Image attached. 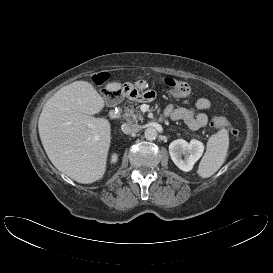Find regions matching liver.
<instances>
[{
	"mask_svg": "<svg viewBox=\"0 0 273 273\" xmlns=\"http://www.w3.org/2000/svg\"><path fill=\"white\" fill-rule=\"evenodd\" d=\"M122 86L111 82L105 89L113 92ZM104 105L92 84L75 81L58 90L39 117V135L48 158L61 173L82 184L100 180L106 171L111 125L94 117Z\"/></svg>",
	"mask_w": 273,
	"mask_h": 273,
	"instance_id": "obj_1",
	"label": "liver"
}]
</instances>
